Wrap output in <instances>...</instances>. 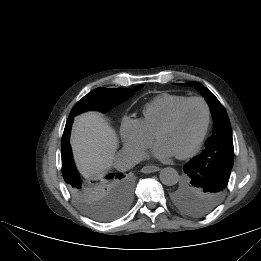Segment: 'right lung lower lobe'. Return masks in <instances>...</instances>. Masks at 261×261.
I'll use <instances>...</instances> for the list:
<instances>
[{
    "label": "right lung lower lobe",
    "mask_w": 261,
    "mask_h": 261,
    "mask_svg": "<svg viewBox=\"0 0 261 261\" xmlns=\"http://www.w3.org/2000/svg\"><path fill=\"white\" fill-rule=\"evenodd\" d=\"M71 125H72V117H69V119L66 122V126H65L64 133H63V136H62V143H61L62 170H63V172L76 171L75 166H74V162H73V159H72L70 144H69V135H70ZM113 176L114 175L111 174L108 177H113ZM117 176H123V175L117 174L116 177Z\"/></svg>",
    "instance_id": "obj_1"
}]
</instances>
